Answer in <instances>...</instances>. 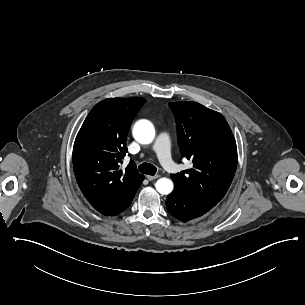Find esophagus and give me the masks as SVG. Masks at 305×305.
I'll use <instances>...</instances> for the list:
<instances>
[{
    "mask_svg": "<svg viewBox=\"0 0 305 305\" xmlns=\"http://www.w3.org/2000/svg\"><path fill=\"white\" fill-rule=\"evenodd\" d=\"M160 177V175H147V179L149 180V181H152V180H154V179H157V178H159Z\"/></svg>",
    "mask_w": 305,
    "mask_h": 305,
    "instance_id": "1",
    "label": "esophagus"
}]
</instances>
